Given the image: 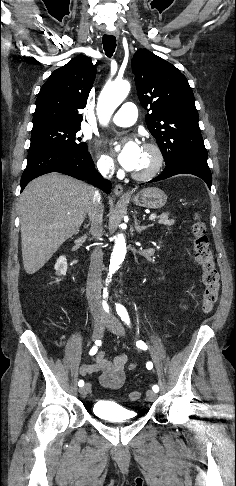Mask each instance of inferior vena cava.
<instances>
[{
    "mask_svg": "<svg viewBox=\"0 0 236 486\" xmlns=\"http://www.w3.org/2000/svg\"><path fill=\"white\" fill-rule=\"evenodd\" d=\"M97 168L103 176L109 175L110 177V161H102L97 165ZM103 210L104 207L101 203V195L99 191H94L92 202L88 208L87 213L91 221L90 233L95 238H99L102 235ZM103 268V252L99 244H97L91 254V261L86 286V296L91 312L94 315L103 313L101 307V275Z\"/></svg>",
    "mask_w": 236,
    "mask_h": 486,
    "instance_id": "1",
    "label": "inferior vena cava"
}]
</instances>
